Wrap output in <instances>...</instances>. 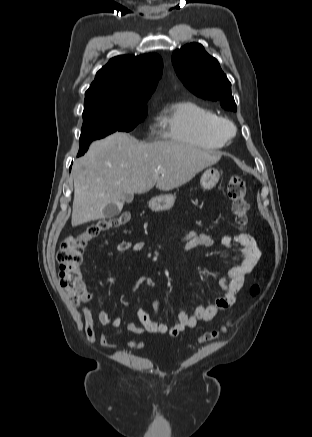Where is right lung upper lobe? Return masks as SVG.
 Masks as SVG:
<instances>
[{
	"label": "right lung upper lobe",
	"instance_id": "1",
	"mask_svg": "<svg viewBox=\"0 0 312 437\" xmlns=\"http://www.w3.org/2000/svg\"><path fill=\"white\" fill-rule=\"evenodd\" d=\"M163 62L157 54L123 55L100 69L85 93L84 110L109 108L137 110L146 102L161 78Z\"/></svg>",
	"mask_w": 312,
	"mask_h": 437
}]
</instances>
